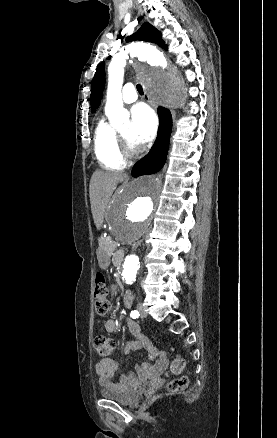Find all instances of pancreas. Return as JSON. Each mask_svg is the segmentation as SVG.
<instances>
[{"instance_id": "pancreas-1", "label": "pancreas", "mask_w": 277, "mask_h": 438, "mask_svg": "<svg viewBox=\"0 0 277 438\" xmlns=\"http://www.w3.org/2000/svg\"><path fill=\"white\" fill-rule=\"evenodd\" d=\"M113 233L111 231H102L101 235H98L97 242L101 244L100 250L102 253H117L118 246L114 244Z\"/></svg>"}]
</instances>
